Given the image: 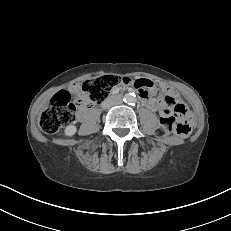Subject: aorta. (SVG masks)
I'll return each mask as SVG.
<instances>
[{
    "instance_id": "obj_1",
    "label": "aorta",
    "mask_w": 231,
    "mask_h": 231,
    "mask_svg": "<svg viewBox=\"0 0 231 231\" xmlns=\"http://www.w3.org/2000/svg\"><path fill=\"white\" fill-rule=\"evenodd\" d=\"M126 99L128 100V101H133V97L131 96V95H128L127 97H126Z\"/></svg>"
}]
</instances>
